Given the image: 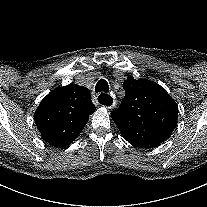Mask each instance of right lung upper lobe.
Here are the masks:
<instances>
[{"label": "right lung upper lobe", "mask_w": 207, "mask_h": 207, "mask_svg": "<svg viewBox=\"0 0 207 207\" xmlns=\"http://www.w3.org/2000/svg\"><path fill=\"white\" fill-rule=\"evenodd\" d=\"M95 109L90 91L71 84L51 91L36 109L34 120L46 142L64 147L78 137Z\"/></svg>", "instance_id": "cb5924a9"}]
</instances>
